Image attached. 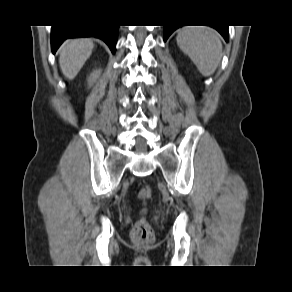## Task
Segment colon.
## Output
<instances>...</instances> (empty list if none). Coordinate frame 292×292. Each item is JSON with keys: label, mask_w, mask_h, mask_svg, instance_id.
Instances as JSON below:
<instances>
[{"label": "colon", "mask_w": 292, "mask_h": 292, "mask_svg": "<svg viewBox=\"0 0 292 292\" xmlns=\"http://www.w3.org/2000/svg\"><path fill=\"white\" fill-rule=\"evenodd\" d=\"M152 198V190L149 186L142 187L138 192V199L145 206ZM146 208L142 210V217L135 223L131 230V239L135 243H150L154 239V232L145 217Z\"/></svg>", "instance_id": "colon-1"}]
</instances>
